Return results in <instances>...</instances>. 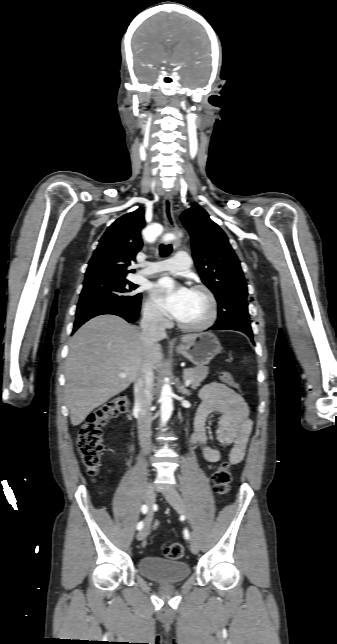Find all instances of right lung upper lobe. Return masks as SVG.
Returning a JSON list of instances; mask_svg holds the SVG:
<instances>
[{"label":"right lung upper lobe","instance_id":"cb5924a9","mask_svg":"<svg viewBox=\"0 0 337 644\" xmlns=\"http://www.w3.org/2000/svg\"><path fill=\"white\" fill-rule=\"evenodd\" d=\"M145 226L144 210L127 213L108 227L89 261L85 281L93 279H125L131 261L142 248L140 236Z\"/></svg>","mask_w":337,"mask_h":644}]
</instances>
